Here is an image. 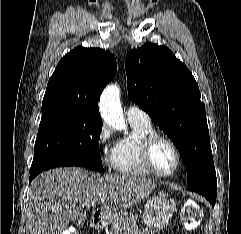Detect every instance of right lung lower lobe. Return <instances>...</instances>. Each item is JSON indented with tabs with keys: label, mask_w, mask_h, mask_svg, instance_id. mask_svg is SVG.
<instances>
[{
	"label": "right lung lower lobe",
	"mask_w": 241,
	"mask_h": 234,
	"mask_svg": "<svg viewBox=\"0 0 241 234\" xmlns=\"http://www.w3.org/2000/svg\"><path fill=\"white\" fill-rule=\"evenodd\" d=\"M66 166H80L77 161H73L68 158H49L39 164L36 167H31L30 169V180L33 179L40 172L45 171L50 168L55 167H66Z\"/></svg>",
	"instance_id": "98d812e1"
}]
</instances>
